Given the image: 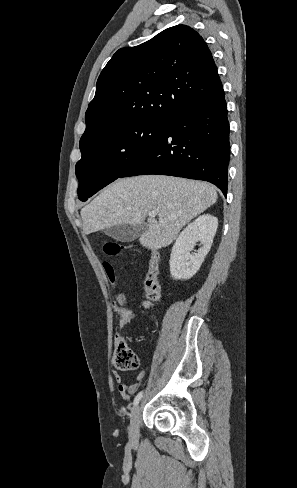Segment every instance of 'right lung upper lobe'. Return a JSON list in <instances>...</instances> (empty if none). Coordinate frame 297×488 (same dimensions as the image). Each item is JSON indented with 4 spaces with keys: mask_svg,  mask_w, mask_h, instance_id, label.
<instances>
[{
    "mask_svg": "<svg viewBox=\"0 0 297 488\" xmlns=\"http://www.w3.org/2000/svg\"><path fill=\"white\" fill-rule=\"evenodd\" d=\"M220 87L207 44L188 26H173L139 46L121 48L97 80L80 150L121 127L170 120Z\"/></svg>",
    "mask_w": 297,
    "mask_h": 488,
    "instance_id": "cb5924a9",
    "label": "right lung upper lobe"
}]
</instances>
